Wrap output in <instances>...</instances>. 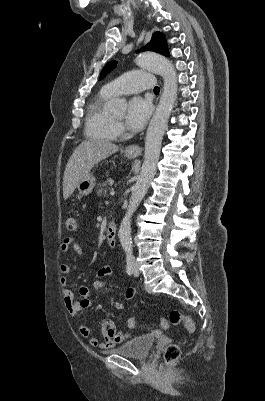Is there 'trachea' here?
<instances>
[{"label": "trachea", "mask_w": 265, "mask_h": 401, "mask_svg": "<svg viewBox=\"0 0 265 401\" xmlns=\"http://www.w3.org/2000/svg\"><path fill=\"white\" fill-rule=\"evenodd\" d=\"M159 92H160V88L159 87H154V93H156V95H158Z\"/></svg>", "instance_id": "trachea-1"}]
</instances>
